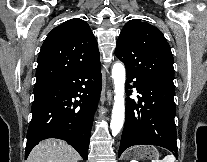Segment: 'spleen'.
Returning <instances> with one entry per match:
<instances>
[{"mask_svg": "<svg viewBox=\"0 0 207 162\" xmlns=\"http://www.w3.org/2000/svg\"><path fill=\"white\" fill-rule=\"evenodd\" d=\"M152 162H175V157L173 155H167L161 161L155 160V161H152Z\"/></svg>", "mask_w": 207, "mask_h": 162, "instance_id": "spleen-1", "label": "spleen"}]
</instances>
